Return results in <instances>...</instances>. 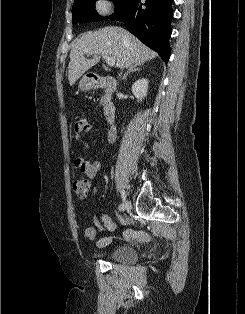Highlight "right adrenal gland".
<instances>
[{"label":"right adrenal gland","instance_id":"2a0ac1e0","mask_svg":"<svg viewBox=\"0 0 245 314\" xmlns=\"http://www.w3.org/2000/svg\"><path fill=\"white\" fill-rule=\"evenodd\" d=\"M140 70H141V67H137V66L130 67L128 71L125 73V75L122 77V80L125 81L130 72H136Z\"/></svg>","mask_w":245,"mask_h":314}]
</instances>
